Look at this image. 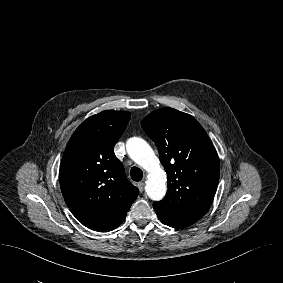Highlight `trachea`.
<instances>
[{"label":"trachea","mask_w":283,"mask_h":283,"mask_svg":"<svg viewBox=\"0 0 283 283\" xmlns=\"http://www.w3.org/2000/svg\"><path fill=\"white\" fill-rule=\"evenodd\" d=\"M130 176H131L133 181H137L138 182L143 177L142 170L140 168L134 166V167L131 168Z\"/></svg>","instance_id":"obj_1"}]
</instances>
